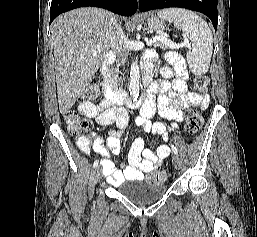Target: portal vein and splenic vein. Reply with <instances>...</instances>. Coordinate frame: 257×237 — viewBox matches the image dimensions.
Returning a JSON list of instances; mask_svg holds the SVG:
<instances>
[{
    "instance_id": "portal-vein-and-splenic-vein-1",
    "label": "portal vein and splenic vein",
    "mask_w": 257,
    "mask_h": 237,
    "mask_svg": "<svg viewBox=\"0 0 257 237\" xmlns=\"http://www.w3.org/2000/svg\"><path fill=\"white\" fill-rule=\"evenodd\" d=\"M156 41L164 42V43H166L169 47L174 48V49L180 48V47H187V46H189V41H188V39H185L184 42L181 43V44H175V43H173L172 41H170L169 39H167V38H165V37H154V38L150 39L149 41H147V45H148V46H151V45H153L154 42H156Z\"/></svg>"
}]
</instances>
